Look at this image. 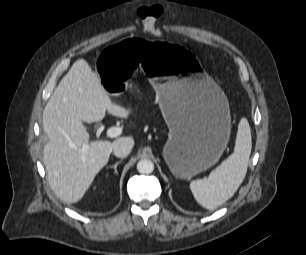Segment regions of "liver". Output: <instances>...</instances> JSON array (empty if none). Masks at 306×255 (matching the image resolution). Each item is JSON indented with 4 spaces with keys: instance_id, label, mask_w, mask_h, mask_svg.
Here are the masks:
<instances>
[{
    "instance_id": "obj_1",
    "label": "liver",
    "mask_w": 306,
    "mask_h": 255,
    "mask_svg": "<svg viewBox=\"0 0 306 255\" xmlns=\"http://www.w3.org/2000/svg\"><path fill=\"white\" fill-rule=\"evenodd\" d=\"M110 96L87 61L79 59L45 106L43 129L49 141L44 147L43 161L50 187L66 203H76L84 197L107 164L114 144L127 138L89 143L83 122H99L106 111L123 118L130 114L129 109L113 102ZM84 145H88L86 151L82 149Z\"/></svg>"
}]
</instances>
